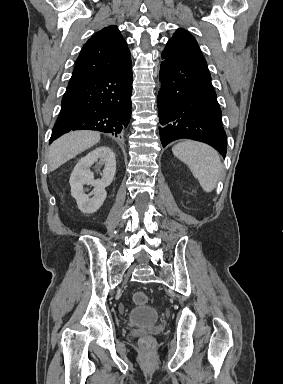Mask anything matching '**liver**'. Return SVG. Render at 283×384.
Returning a JSON list of instances; mask_svg holds the SVG:
<instances>
[{
  "label": "liver",
  "instance_id": "liver-1",
  "mask_svg": "<svg viewBox=\"0 0 283 384\" xmlns=\"http://www.w3.org/2000/svg\"><path fill=\"white\" fill-rule=\"evenodd\" d=\"M100 142L99 132H88V130H79V132H70L64 134L58 140H55L49 148V170H57L59 166L75 158L84 150L92 148Z\"/></svg>",
  "mask_w": 283,
  "mask_h": 384
}]
</instances>
